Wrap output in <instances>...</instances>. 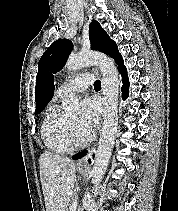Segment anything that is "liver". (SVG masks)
<instances>
[{"label":"liver","instance_id":"6515ba94","mask_svg":"<svg viewBox=\"0 0 178 211\" xmlns=\"http://www.w3.org/2000/svg\"><path fill=\"white\" fill-rule=\"evenodd\" d=\"M39 166L46 211H66L76 181L74 161L45 152L39 158Z\"/></svg>","mask_w":178,"mask_h":211}]
</instances>
